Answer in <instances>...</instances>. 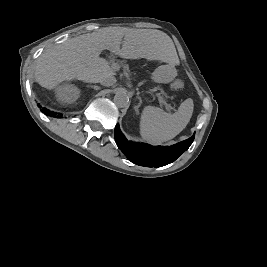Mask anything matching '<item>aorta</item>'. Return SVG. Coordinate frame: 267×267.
Here are the masks:
<instances>
[{
	"mask_svg": "<svg viewBox=\"0 0 267 267\" xmlns=\"http://www.w3.org/2000/svg\"><path fill=\"white\" fill-rule=\"evenodd\" d=\"M129 101V96L125 90L117 92L114 96V104L117 107H125Z\"/></svg>",
	"mask_w": 267,
	"mask_h": 267,
	"instance_id": "aorta-1",
	"label": "aorta"
}]
</instances>
